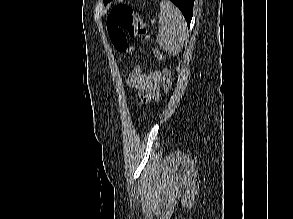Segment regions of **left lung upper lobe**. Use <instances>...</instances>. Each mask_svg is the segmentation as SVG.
<instances>
[{
	"mask_svg": "<svg viewBox=\"0 0 293 219\" xmlns=\"http://www.w3.org/2000/svg\"><path fill=\"white\" fill-rule=\"evenodd\" d=\"M111 0H104V4L109 3Z\"/></svg>",
	"mask_w": 293,
	"mask_h": 219,
	"instance_id": "5c2ea615",
	"label": "left lung upper lobe"
}]
</instances>
